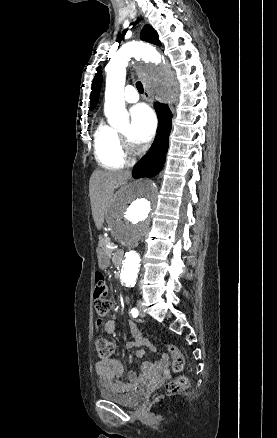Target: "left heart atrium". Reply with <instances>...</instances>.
<instances>
[{
  "mask_svg": "<svg viewBox=\"0 0 277 438\" xmlns=\"http://www.w3.org/2000/svg\"><path fill=\"white\" fill-rule=\"evenodd\" d=\"M133 128L130 133L131 140L137 145L148 143L154 136L156 117L152 109L145 105H137L131 109Z\"/></svg>",
  "mask_w": 277,
  "mask_h": 438,
  "instance_id": "left-heart-atrium-1",
  "label": "left heart atrium"
}]
</instances>
